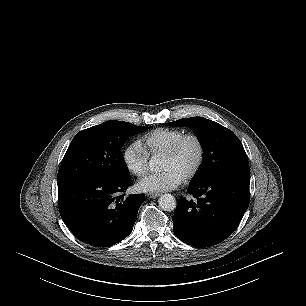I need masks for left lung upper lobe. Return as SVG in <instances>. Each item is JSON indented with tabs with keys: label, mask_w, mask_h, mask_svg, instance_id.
Wrapping results in <instances>:
<instances>
[{
	"label": "left lung upper lobe",
	"mask_w": 306,
	"mask_h": 306,
	"mask_svg": "<svg viewBox=\"0 0 306 306\" xmlns=\"http://www.w3.org/2000/svg\"><path fill=\"white\" fill-rule=\"evenodd\" d=\"M173 127H191L203 147V162L190 183L229 172H249L246 152L229 129L203 117L184 118L166 123Z\"/></svg>",
	"instance_id": "obj_1"
}]
</instances>
